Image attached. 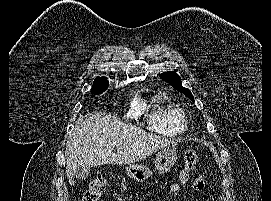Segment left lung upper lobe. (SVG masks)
<instances>
[{
    "label": "left lung upper lobe",
    "instance_id": "left-lung-upper-lobe-1",
    "mask_svg": "<svg viewBox=\"0 0 271 201\" xmlns=\"http://www.w3.org/2000/svg\"><path fill=\"white\" fill-rule=\"evenodd\" d=\"M161 79L168 82L175 88L177 91L184 93L190 100L194 101V97L191 91L187 88H184L181 84V78L176 72H164L160 75Z\"/></svg>",
    "mask_w": 271,
    "mask_h": 201
}]
</instances>
